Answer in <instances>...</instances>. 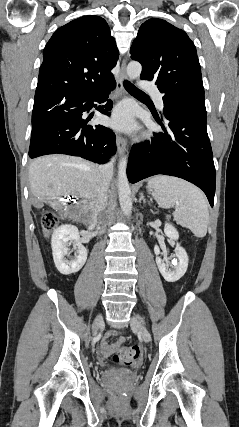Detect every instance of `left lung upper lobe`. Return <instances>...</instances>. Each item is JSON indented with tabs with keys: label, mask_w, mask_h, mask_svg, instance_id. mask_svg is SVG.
I'll return each mask as SVG.
<instances>
[{
	"label": "left lung upper lobe",
	"mask_w": 239,
	"mask_h": 427,
	"mask_svg": "<svg viewBox=\"0 0 239 427\" xmlns=\"http://www.w3.org/2000/svg\"><path fill=\"white\" fill-rule=\"evenodd\" d=\"M130 53L142 64L141 79L154 80L165 97L205 109L196 48L184 31L151 18L140 26Z\"/></svg>",
	"instance_id": "left-lung-upper-lobe-1"
}]
</instances>
